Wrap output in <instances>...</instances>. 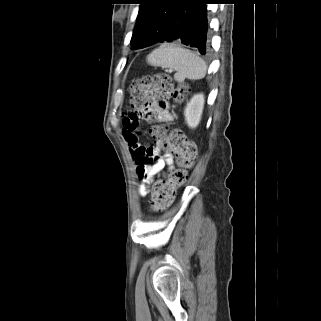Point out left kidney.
I'll use <instances>...</instances> for the list:
<instances>
[{
  "label": "left kidney",
  "instance_id": "1",
  "mask_svg": "<svg viewBox=\"0 0 321 321\" xmlns=\"http://www.w3.org/2000/svg\"><path fill=\"white\" fill-rule=\"evenodd\" d=\"M204 103L205 99L203 93L194 95L187 103L184 110V116L188 127L194 129L199 125Z\"/></svg>",
  "mask_w": 321,
  "mask_h": 321
}]
</instances>
